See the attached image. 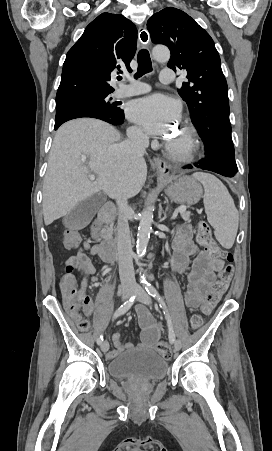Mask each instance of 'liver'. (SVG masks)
I'll list each match as a JSON object with an SVG mask.
<instances>
[{
    "label": "liver",
    "instance_id": "1",
    "mask_svg": "<svg viewBox=\"0 0 272 451\" xmlns=\"http://www.w3.org/2000/svg\"><path fill=\"white\" fill-rule=\"evenodd\" d=\"M120 138L113 126L93 118L71 120L57 130L43 184L45 226L101 190L109 198L139 194L147 178L146 162L136 158L123 168L115 144ZM83 158H88L86 164ZM86 172L96 174L95 182Z\"/></svg>",
    "mask_w": 272,
    "mask_h": 451
}]
</instances>
